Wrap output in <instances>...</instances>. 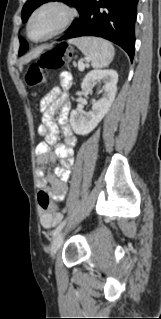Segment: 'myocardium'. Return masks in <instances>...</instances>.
<instances>
[{"mask_svg": "<svg viewBox=\"0 0 161 319\" xmlns=\"http://www.w3.org/2000/svg\"><path fill=\"white\" fill-rule=\"evenodd\" d=\"M49 9H57L61 12V17L56 26L52 29L50 33L43 37L34 38L31 35V25L34 19L42 14L44 11ZM76 15L75 9L69 5L68 3L64 2L63 0H48L42 3L40 6H38L30 15L28 23H27V36L31 41L34 42H43L46 40H49L58 34H60L62 31H64L69 24L72 22Z\"/></svg>", "mask_w": 161, "mask_h": 319, "instance_id": "myocardium-1", "label": "myocardium"}]
</instances>
